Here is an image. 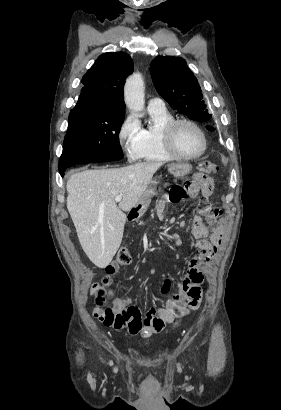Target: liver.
I'll list each match as a JSON object with an SVG mask.
<instances>
[{
    "mask_svg": "<svg viewBox=\"0 0 281 410\" xmlns=\"http://www.w3.org/2000/svg\"><path fill=\"white\" fill-rule=\"evenodd\" d=\"M161 162L85 170L67 182V209L82 249L99 268L107 267L120 247L126 215L140 200ZM122 196L117 205L115 198Z\"/></svg>",
    "mask_w": 281,
    "mask_h": 410,
    "instance_id": "obj_1",
    "label": "liver"
}]
</instances>
